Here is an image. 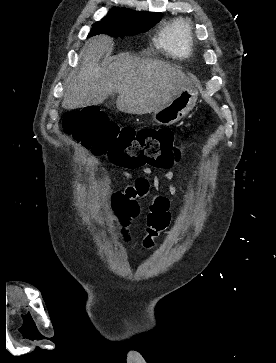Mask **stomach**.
<instances>
[{"instance_id":"obj_1","label":"stomach","mask_w":276,"mask_h":363,"mask_svg":"<svg viewBox=\"0 0 276 363\" xmlns=\"http://www.w3.org/2000/svg\"><path fill=\"white\" fill-rule=\"evenodd\" d=\"M197 97V91L188 87L165 106L153 111L152 118L160 125H172L185 117L194 108Z\"/></svg>"}]
</instances>
